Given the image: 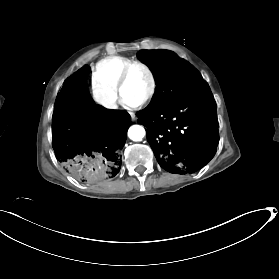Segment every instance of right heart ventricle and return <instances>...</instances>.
I'll use <instances>...</instances> for the list:
<instances>
[{
  "mask_svg": "<svg viewBox=\"0 0 279 279\" xmlns=\"http://www.w3.org/2000/svg\"><path fill=\"white\" fill-rule=\"evenodd\" d=\"M131 61L124 56H109L99 60L92 68L91 80L93 84H101L118 94L117 82L122 69Z\"/></svg>",
  "mask_w": 279,
  "mask_h": 279,
  "instance_id": "obj_1",
  "label": "right heart ventricle"
}]
</instances>
